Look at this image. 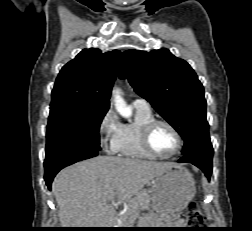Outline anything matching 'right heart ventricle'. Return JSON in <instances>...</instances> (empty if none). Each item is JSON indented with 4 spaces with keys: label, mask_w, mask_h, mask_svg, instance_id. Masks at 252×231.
Wrapping results in <instances>:
<instances>
[{
    "label": "right heart ventricle",
    "mask_w": 252,
    "mask_h": 231,
    "mask_svg": "<svg viewBox=\"0 0 252 231\" xmlns=\"http://www.w3.org/2000/svg\"><path fill=\"white\" fill-rule=\"evenodd\" d=\"M135 118L132 122L122 124L117 140L116 152L122 156L152 159L153 156L145 151L141 143V129L144 124L154 119L151 109L133 106Z\"/></svg>",
    "instance_id": "e07e8e85"
}]
</instances>
